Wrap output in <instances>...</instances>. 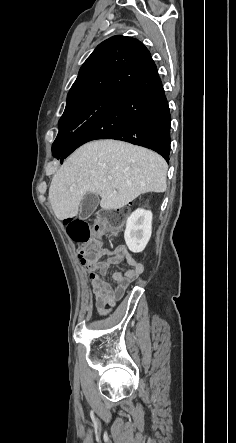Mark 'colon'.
Masks as SVG:
<instances>
[{"label":"colon","instance_id":"1","mask_svg":"<svg viewBox=\"0 0 236 443\" xmlns=\"http://www.w3.org/2000/svg\"><path fill=\"white\" fill-rule=\"evenodd\" d=\"M65 223L70 239L81 246L78 257L83 262H90L96 260L101 252V245L91 242L92 236L100 239L114 237L122 229L125 215L115 212L107 218L99 219L93 225L82 218H68Z\"/></svg>","mask_w":236,"mask_h":443}]
</instances>
